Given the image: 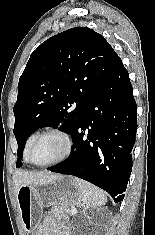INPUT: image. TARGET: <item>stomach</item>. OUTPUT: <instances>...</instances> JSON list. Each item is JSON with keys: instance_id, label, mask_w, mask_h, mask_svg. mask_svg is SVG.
Here are the masks:
<instances>
[{"instance_id": "obj_1", "label": "stomach", "mask_w": 155, "mask_h": 235, "mask_svg": "<svg viewBox=\"0 0 155 235\" xmlns=\"http://www.w3.org/2000/svg\"><path fill=\"white\" fill-rule=\"evenodd\" d=\"M20 218L26 232H35L47 206L66 207L81 202L80 189L71 176H60L52 181L20 186L16 194Z\"/></svg>"}]
</instances>
